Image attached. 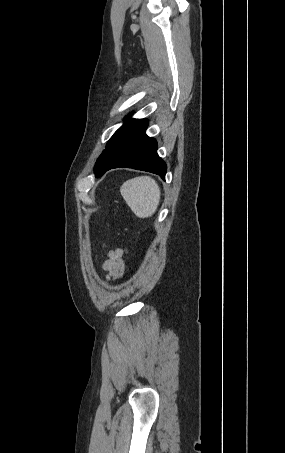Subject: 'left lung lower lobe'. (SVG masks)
<instances>
[{
	"label": "left lung lower lobe",
	"mask_w": 285,
	"mask_h": 453,
	"mask_svg": "<svg viewBox=\"0 0 285 453\" xmlns=\"http://www.w3.org/2000/svg\"><path fill=\"white\" fill-rule=\"evenodd\" d=\"M146 119H136L122 134L97 177L107 170L128 167L148 171L165 179L167 166L157 154V142L148 137Z\"/></svg>",
	"instance_id": "1"
}]
</instances>
